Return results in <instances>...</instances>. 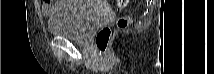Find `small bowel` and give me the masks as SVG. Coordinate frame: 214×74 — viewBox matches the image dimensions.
<instances>
[{
  "instance_id": "small-bowel-1",
  "label": "small bowel",
  "mask_w": 214,
  "mask_h": 74,
  "mask_svg": "<svg viewBox=\"0 0 214 74\" xmlns=\"http://www.w3.org/2000/svg\"><path fill=\"white\" fill-rule=\"evenodd\" d=\"M97 3L101 4L102 2L98 1ZM69 5H71V2H69V1H59V2H57L55 4L54 7L51 5V3L45 2V3H43V5L41 7V10H42L43 15H45V16H51V15L54 14V12H55L56 9H58V8H64V7H67Z\"/></svg>"
}]
</instances>
